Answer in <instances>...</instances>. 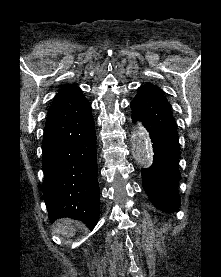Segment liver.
Listing matches in <instances>:
<instances>
[{"instance_id":"1","label":"liver","mask_w":221,"mask_h":277,"mask_svg":"<svg viewBox=\"0 0 221 277\" xmlns=\"http://www.w3.org/2000/svg\"><path fill=\"white\" fill-rule=\"evenodd\" d=\"M78 222L71 219H61L55 223L54 229L58 234L72 237L75 235Z\"/></svg>"}]
</instances>
